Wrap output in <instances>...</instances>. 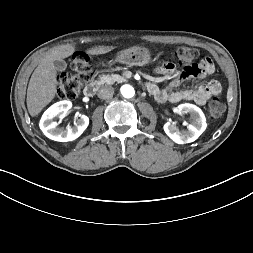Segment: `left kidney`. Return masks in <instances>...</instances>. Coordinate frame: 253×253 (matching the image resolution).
I'll return each instance as SVG.
<instances>
[{"label":"left kidney","instance_id":"left-kidney-1","mask_svg":"<svg viewBox=\"0 0 253 253\" xmlns=\"http://www.w3.org/2000/svg\"><path fill=\"white\" fill-rule=\"evenodd\" d=\"M177 113L190 114L191 124L187 126L188 130L179 131L172 123L164 124V131L170 139L177 144L190 143L195 141L206 129V118L202 110L194 104L184 103L176 108Z\"/></svg>","mask_w":253,"mask_h":253}]
</instances>
